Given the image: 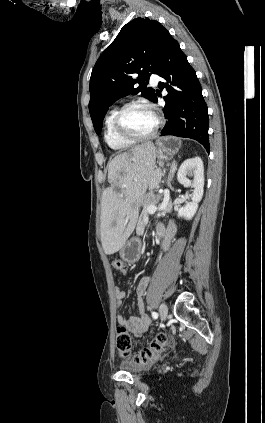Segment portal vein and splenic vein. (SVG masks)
Masks as SVG:
<instances>
[{"mask_svg":"<svg viewBox=\"0 0 265 423\" xmlns=\"http://www.w3.org/2000/svg\"><path fill=\"white\" fill-rule=\"evenodd\" d=\"M169 202H170V191L168 189H165L164 190V198H163L161 205L159 207H157L155 205L148 206L147 207L148 214H154L156 211L164 210ZM146 221H147V218H146Z\"/></svg>","mask_w":265,"mask_h":423,"instance_id":"portal-vein-and-splenic-vein-1","label":"portal vein and splenic vein"}]
</instances>
